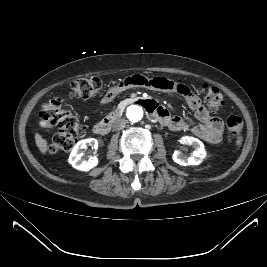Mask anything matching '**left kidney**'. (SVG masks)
Returning a JSON list of instances; mask_svg holds the SVG:
<instances>
[{
	"mask_svg": "<svg viewBox=\"0 0 267 267\" xmlns=\"http://www.w3.org/2000/svg\"><path fill=\"white\" fill-rule=\"evenodd\" d=\"M180 142L183 144L192 145L194 147V152L192 156L187 157L182 152L176 150L172 155V159L179 165H199L206 157L204 144L199 139L190 136H185L180 140Z\"/></svg>",
	"mask_w": 267,
	"mask_h": 267,
	"instance_id": "left-kidney-1",
	"label": "left kidney"
}]
</instances>
